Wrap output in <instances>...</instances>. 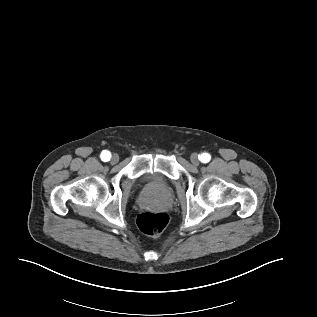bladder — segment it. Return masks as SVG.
<instances>
[{"instance_id": "31cf9c89", "label": "bladder", "mask_w": 317, "mask_h": 317, "mask_svg": "<svg viewBox=\"0 0 317 317\" xmlns=\"http://www.w3.org/2000/svg\"><path fill=\"white\" fill-rule=\"evenodd\" d=\"M144 183L152 184L155 187H161L163 186V182L157 178V176L154 175H146L143 178Z\"/></svg>"}]
</instances>
